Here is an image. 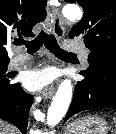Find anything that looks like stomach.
Wrapping results in <instances>:
<instances>
[{"label": "stomach", "mask_w": 116, "mask_h": 134, "mask_svg": "<svg viewBox=\"0 0 116 134\" xmlns=\"http://www.w3.org/2000/svg\"><path fill=\"white\" fill-rule=\"evenodd\" d=\"M107 122L98 116H86L70 123L65 134H108Z\"/></svg>", "instance_id": "0dacf381"}]
</instances>
